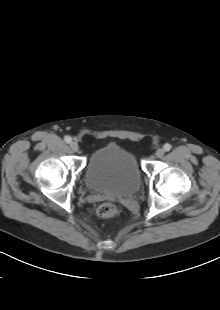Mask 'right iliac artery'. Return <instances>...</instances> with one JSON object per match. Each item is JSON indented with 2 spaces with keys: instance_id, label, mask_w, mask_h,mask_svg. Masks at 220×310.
I'll return each instance as SVG.
<instances>
[{
  "instance_id": "1",
  "label": "right iliac artery",
  "mask_w": 220,
  "mask_h": 310,
  "mask_svg": "<svg viewBox=\"0 0 220 310\" xmlns=\"http://www.w3.org/2000/svg\"><path fill=\"white\" fill-rule=\"evenodd\" d=\"M64 140H65L66 143H71L72 138L70 136H65Z\"/></svg>"
}]
</instances>
